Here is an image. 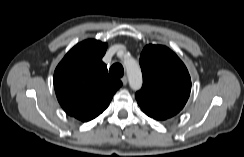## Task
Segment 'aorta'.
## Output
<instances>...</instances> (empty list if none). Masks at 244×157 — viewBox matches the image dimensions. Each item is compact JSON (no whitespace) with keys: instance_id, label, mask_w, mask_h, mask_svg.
<instances>
[{"instance_id":"1","label":"aorta","mask_w":244,"mask_h":157,"mask_svg":"<svg viewBox=\"0 0 244 157\" xmlns=\"http://www.w3.org/2000/svg\"><path fill=\"white\" fill-rule=\"evenodd\" d=\"M126 68L129 85L133 90H138L142 86V73L140 67L133 59H127L124 61Z\"/></svg>"}]
</instances>
